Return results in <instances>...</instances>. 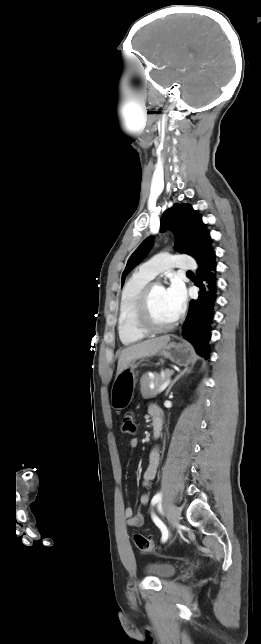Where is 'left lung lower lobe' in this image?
I'll list each match as a JSON object with an SVG mask.
<instances>
[{
  "label": "left lung lower lobe",
  "instance_id": "obj_1",
  "mask_svg": "<svg viewBox=\"0 0 261 644\" xmlns=\"http://www.w3.org/2000/svg\"><path fill=\"white\" fill-rule=\"evenodd\" d=\"M215 252L199 263L196 286L200 288L197 300H191L182 335L205 358L210 357L209 341L214 307L217 298Z\"/></svg>",
  "mask_w": 261,
  "mask_h": 644
}]
</instances>
